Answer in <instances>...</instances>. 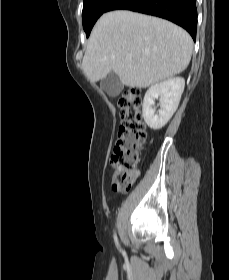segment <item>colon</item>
I'll list each match as a JSON object with an SVG mask.
<instances>
[{"label": "colon", "mask_w": 229, "mask_h": 280, "mask_svg": "<svg viewBox=\"0 0 229 280\" xmlns=\"http://www.w3.org/2000/svg\"><path fill=\"white\" fill-rule=\"evenodd\" d=\"M121 126L114 145L111 164L120 170L113 182L114 190H128L137 176L139 152L146 141V129L141 112V91L126 88L120 95Z\"/></svg>", "instance_id": "1"}]
</instances>
